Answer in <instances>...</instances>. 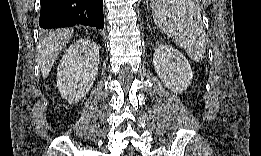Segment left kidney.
<instances>
[{"instance_id":"left-kidney-1","label":"left kidney","mask_w":261,"mask_h":156,"mask_svg":"<svg viewBox=\"0 0 261 156\" xmlns=\"http://www.w3.org/2000/svg\"><path fill=\"white\" fill-rule=\"evenodd\" d=\"M153 65L164 85L174 93L185 91L191 84L193 73L186 57L168 45H159L153 54Z\"/></svg>"}]
</instances>
